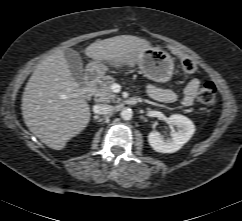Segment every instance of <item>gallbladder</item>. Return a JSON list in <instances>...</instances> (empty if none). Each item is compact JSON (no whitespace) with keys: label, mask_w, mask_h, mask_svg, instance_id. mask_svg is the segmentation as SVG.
I'll return each instance as SVG.
<instances>
[{"label":"gallbladder","mask_w":242,"mask_h":221,"mask_svg":"<svg viewBox=\"0 0 242 221\" xmlns=\"http://www.w3.org/2000/svg\"><path fill=\"white\" fill-rule=\"evenodd\" d=\"M63 54L72 77L80 87H84L83 63L79 53L73 49L66 48L63 50Z\"/></svg>","instance_id":"obj_1"}]
</instances>
